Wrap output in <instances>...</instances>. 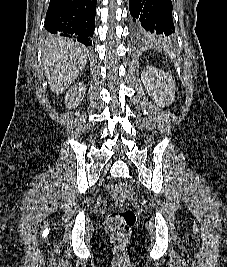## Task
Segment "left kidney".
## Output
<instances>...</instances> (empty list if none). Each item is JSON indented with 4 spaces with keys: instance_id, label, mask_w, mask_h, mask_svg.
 Masks as SVG:
<instances>
[{
    "instance_id": "left-kidney-1",
    "label": "left kidney",
    "mask_w": 227,
    "mask_h": 267,
    "mask_svg": "<svg viewBox=\"0 0 227 267\" xmlns=\"http://www.w3.org/2000/svg\"><path fill=\"white\" fill-rule=\"evenodd\" d=\"M141 80L148 94L158 105L165 106L172 103L176 87L168 73L156 67L147 66L141 73Z\"/></svg>"
}]
</instances>
